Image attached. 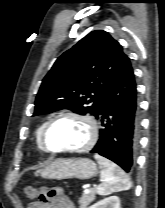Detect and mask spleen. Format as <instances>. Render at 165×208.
Masks as SVG:
<instances>
[{"label": "spleen", "instance_id": "3e777b00", "mask_svg": "<svg viewBox=\"0 0 165 208\" xmlns=\"http://www.w3.org/2000/svg\"><path fill=\"white\" fill-rule=\"evenodd\" d=\"M94 158L102 168L100 173L102 183L96 188L99 195H109L131 188L130 179L120 167L98 154H95Z\"/></svg>", "mask_w": 165, "mask_h": 208}]
</instances>
